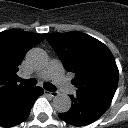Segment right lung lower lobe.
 Returning <instances> with one entry per match:
<instances>
[{"instance_id": "98d812e1", "label": "right lung lower lobe", "mask_w": 128, "mask_h": 128, "mask_svg": "<svg viewBox=\"0 0 128 128\" xmlns=\"http://www.w3.org/2000/svg\"><path fill=\"white\" fill-rule=\"evenodd\" d=\"M44 90L41 87L22 88L15 91L0 104V126L12 127L23 122Z\"/></svg>"}]
</instances>
